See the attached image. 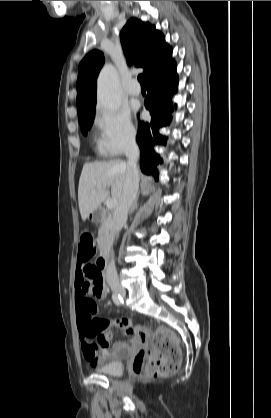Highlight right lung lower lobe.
<instances>
[{
	"mask_svg": "<svg viewBox=\"0 0 271 418\" xmlns=\"http://www.w3.org/2000/svg\"><path fill=\"white\" fill-rule=\"evenodd\" d=\"M147 97L145 107L150 111L151 121H138L137 142L141 151V170L158 178L156 165L160 160L153 147L166 144V139L159 134V128L169 124L168 115L173 111L170 98L177 91L178 75L176 63L171 60L167 65L148 76L146 79Z\"/></svg>",
	"mask_w": 271,
	"mask_h": 418,
	"instance_id": "obj_1",
	"label": "right lung lower lobe"
}]
</instances>
